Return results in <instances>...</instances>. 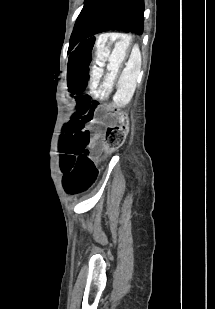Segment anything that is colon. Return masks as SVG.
I'll use <instances>...</instances> for the list:
<instances>
[{"label":"colon","instance_id":"colon-1","mask_svg":"<svg viewBox=\"0 0 215 309\" xmlns=\"http://www.w3.org/2000/svg\"><path fill=\"white\" fill-rule=\"evenodd\" d=\"M128 131V115L125 111L119 112V119L116 123L110 124L106 128L105 141L109 150H116L120 148L127 135Z\"/></svg>","mask_w":215,"mask_h":309}]
</instances>
